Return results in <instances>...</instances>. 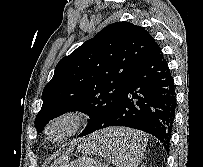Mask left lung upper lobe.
Segmentation results:
<instances>
[{"mask_svg":"<svg viewBox=\"0 0 203 167\" xmlns=\"http://www.w3.org/2000/svg\"><path fill=\"white\" fill-rule=\"evenodd\" d=\"M156 44L143 27L116 22L62 58L43 90L37 132L70 111L90 117L79 137L96 131L112 116L132 71Z\"/></svg>","mask_w":203,"mask_h":167,"instance_id":"1","label":"left lung upper lobe"}]
</instances>
